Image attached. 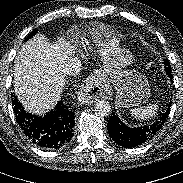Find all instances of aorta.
Returning a JSON list of instances; mask_svg holds the SVG:
<instances>
[{
    "label": "aorta",
    "instance_id": "762f6f07",
    "mask_svg": "<svg viewBox=\"0 0 183 183\" xmlns=\"http://www.w3.org/2000/svg\"><path fill=\"white\" fill-rule=\"evenodd\" d=\"M95 111L100 116H107L111 112L110 103L106 100L97 101L95 104Z\"/></svg>",
    "mask_w": 183,
    "mask_h": 183
}]
</instances>
